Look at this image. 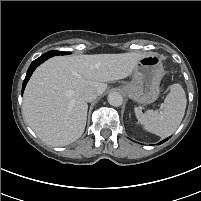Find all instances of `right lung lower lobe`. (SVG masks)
Here are the masks:
<instances>
[{"label":"right lung lower lobe","mask_w":201,"mask_h":201,"mask_svg":"<svg viewBox=\"0 0 201 201\" xmlns=\"http://www.w3.org/2000/svg\"><path fill=\"white\" fill-rule=\"evenodd\" d=\"M50 57H52L51 54L45 53V54H43L42 56H40L39 58H37L36 60H34L31 63V65H30V67H29V69L27 71V75L25 77V80L23 82L22 93L24 91V88H25V86H26V84H27L30 76L32 75L33 71L35 70V68L37 66H39L41 63H43L45 60H47L48 58H50Z\"/></svg>","instance_id":"obj_1"}]
</instances>
